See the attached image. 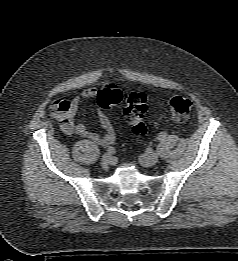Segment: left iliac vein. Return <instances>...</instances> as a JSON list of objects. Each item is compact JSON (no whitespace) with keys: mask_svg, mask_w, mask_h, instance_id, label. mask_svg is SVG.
<instances>
[{"mask_svg":"<svg viewBox=\"0 0 238 261\" xmlns=\"http://www.w3.org/2000/svg\"><path fill=\"white\" fill-rule=\"evenodd\" d=\"M158 154L156 152H148L140 156L139 161L140 163L145 166H153L158 162Z\"/></svg>","mask_w":238,"mask_h":261,"instance_id":"1","label":"left iliac vein"}]
</instances>
